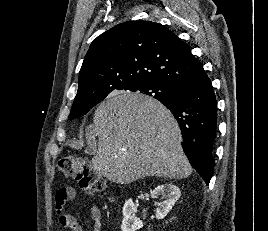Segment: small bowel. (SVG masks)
I'll list each match as a JSON object with an SVG mask.
<instances>
[{"label":"small bowel","instance_id":"c3829d8e","mask_svg":"<svg viewBox=\"0 0 268 231\" xmlns=\"http://www.w3.org/2000/svg\"><path fill=\"white\" fill-rule=\"evenodd\" d=\"M68 191L69 193L63 197L62 192ZM76 197V191L72 187H64L60 189L56 195V213L58 223L62 228L70 231H82V227L77 221L76 217L69 213L66 209V203ZM91 217L94 220V231H103V224L101 222V212L97 206H92Z\"/></svg>","mask_w":268,"mask_h":231}]
</instances>
